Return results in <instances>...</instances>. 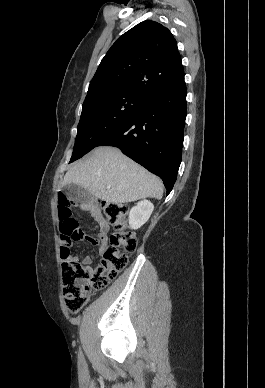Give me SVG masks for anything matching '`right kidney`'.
I'll list each match as a JSON object with an SVG mask.
<instances>
[{"label": "right kidney", "mask_w": 265, "mask_h": 388, "mask_svg": "<svg viewBox=\"0 0 265 388\" xmlns=\"http://www.w3.org/2000/svg\"><path fill=\"white\" fill-rule=\"evenodd\" d=\"M154 210L153 204L149 200L138 202L137 206H133L129 214V224L132 230H138L143 224H146Z\"/></svg>", "instance_id": "obj_1"}]
</instances>
